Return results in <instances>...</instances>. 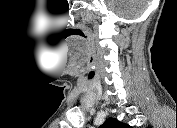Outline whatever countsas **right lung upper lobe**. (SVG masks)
<instances>
[{
    "label": "right lung upper lobe",
    "instance_id": "cb5924a9",
    "mask_svg": "<svg viewBox=\"0 0 177 128\" xmlns=\"http://www.w3.org/2000/svg\"><path fill=\"white\" fill-rule=\"evenodd\" d=\"M102 128H130L129 125L118 121L115 118H108L101 126Z\"/></svg>",
    "mask_w": 177,
    "mask_h": 128
}]
</instances>
